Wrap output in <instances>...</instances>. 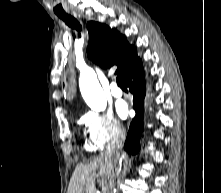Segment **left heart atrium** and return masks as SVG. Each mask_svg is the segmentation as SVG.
<instances>
[{
	"label": "left heart atrium",
	"mask_w": 221,
	"mask_h": 193,
	"mask_svg": "<svg viewBox=\"0 0 221 193\" xmlns=\"http://www.w3.org/2000/svg\"><path fill=\"white\" fill-rule=\"evenodd\" d=\"M117 111L118 114L122 117V118H126L129 114V109L126 103L124 102H120L117 106Z\"/></svg>",
	"instance_id": "39dd6f15"
}]
</instances>
